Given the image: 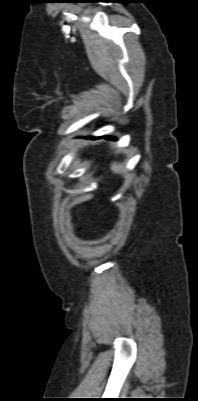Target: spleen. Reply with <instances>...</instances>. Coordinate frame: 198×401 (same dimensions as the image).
I'll list each match as a JSON object with an SVG mask.
<instances>
[{
  "label": "spleen",
  "mask_w": 198,
  "mask_h": 401,
  "mask_svg": "<svg viewBox=\"0 0 198 401\" xmlns=\"http://www.w3.org/2000/svg\"><path fill=\"white\" fill-rule=\"evenodd\" d=\"M111 169H112L113 171H115V172H119V171L122 169V166H120V165L114 163V164L112 165Z\"/></svg>",
  "instance_id": "3e777b00"
}]
</instances>
